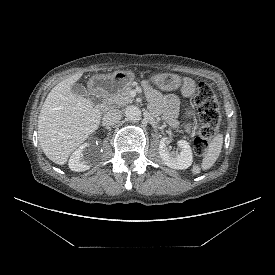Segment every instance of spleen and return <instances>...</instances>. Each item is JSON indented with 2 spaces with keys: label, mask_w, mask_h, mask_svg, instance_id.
Here are the masks:
<instances>
[{
  "label": "spleen",
  "mask_w": 275,
  "mask_h": 275,
  "mask_svg": "<svg viewBox=\"0 0 275 275\" xmlns=\"http://www.w3.org/2000/svg\"><path fill=\"white\" fill-rule=\"evenodd\" d=\"M223 145V135L217 134L210 142L209 147L203 157L201 167L198 165L193 166L192 173L199 174L202 170L210 169L218 159Z\"/></svg>",
  "instance_id": "1"
}]
</instances>
